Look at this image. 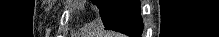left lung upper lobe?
I'll list each match as a JSON object with an SVG mask.
<instances>
[{"label":"left lung upper lobe","mask_w":219,"mask_h":37,"mask_svg":"<svg viewBox=\"0 0 219 37\" xmlns=\"http://www.w3.org/2000/svg\"><path fill=\"white\" fill-rule=\"evenodd\" d=\"M99 8L101 19L105 28L115 15L116 10L123 0H92Z\"/></svg>","instance_id":"1"}]
</instances>
